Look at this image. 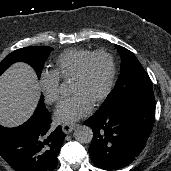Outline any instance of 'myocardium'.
<instances>
[{
    "label": "myocardium",
    "mask_w": 171,
    "mask_h": 171,
    "mask_svg": "<svg viewBox=\"0 0 171 171\" xmlns=\"http://www.w3.org/2000/svg\"><path fill=\"white\" fill-rule=\"evenodd\" d=\"M97 56H105L108 58L110 64V74H109L108 83L104 91L96 98V100L93 103L94 105H98L101 102H103L110 95L113 89L115 77H116V63H115L114 56L106 50H98L92 52L87 58L83 60V62L80 64L79 68L71 78V80L81 79L84 76L90 62Z\"/></svg>",
    "instance_id": "obj_1"
}]
</instances>
